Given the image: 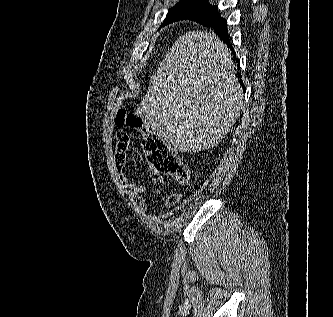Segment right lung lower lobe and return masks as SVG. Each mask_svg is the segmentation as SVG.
Segmentation results:
<instances>
[{
	"instance_id": "98d812e1",
	"label": "right lung lower lobe",
	"mask_w": 333,
	"mask_h": 317,
	"mask_svg": "<svg viewBox=\"0 0 333 317\" xmlns=\"http://www.w3.org/2000/svg\"><path fill=\"white\" fill-rule=\"evenodd\" d=\"M188 20L196 21L202 25L212 28L221 38V40H223V42L234 51L229 42V34L226 29L227 21L225 18L220 16L218 10L209 14L194 16L192 18H188Z\"/></svg>"
}]
</instances>
